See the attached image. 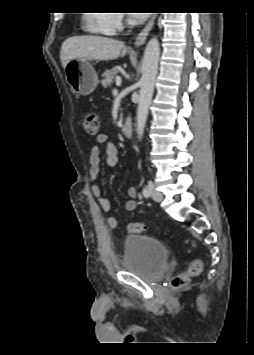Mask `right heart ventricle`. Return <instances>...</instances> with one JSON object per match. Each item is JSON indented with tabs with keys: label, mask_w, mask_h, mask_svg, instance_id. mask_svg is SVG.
<instances>
[{
	"label": "right heart ventricle",
	"mask_w": 254,
	"mask_h": 355,
	"mask_svg": "<svg viewBox=\"0 0 254 355\" xmlns=\"http://www.w3.org/2000/svg\"><path fill=\"white\" fill-rule=\"evenodd\" d=\"M103 14L93 12L88 14L85 18V27L86 29L95 34L110 35L111 33L105 29L102 24Z\"/></svg>",
	"instance_id": "e07e8e85"
}]
</instances>
